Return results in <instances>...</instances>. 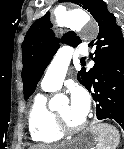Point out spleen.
Masks as SVG:
<instances>
[{
    "mask_svg": "<svg viewBox=\"0 0 124 149\" xmlns=\"http://www.w3.org/2000/svg\"><path fill=\"white\" fill-rule=\"evenodd\" d=\"M97 131V149H116L119 143V132L108 124L94 127Z\"/></svg>",
    "mask_w": 124,
    "mask_h": 149,
    "instance_id": "1",
    "label": "spleen"
}]
</instances>
